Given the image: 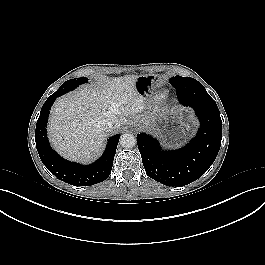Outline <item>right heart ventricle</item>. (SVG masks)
<instances>
[{"label": "right heart ventricle", "instance_id": "e07e8e85", "mask_svg": "<svg viewBox=\"0 0 265 265\" xmlns=\"http://www.w3.org/2000/svg\"><path fill=\"white\" fill-rule=\"evenodd\" d=\"M165 96H166V91L162 90V91L156 92L154 94L153 99H154V101H159V100L163 99Z\"/></svg>", "mask_w": 265, "mask_h": 265}]
</instances>
